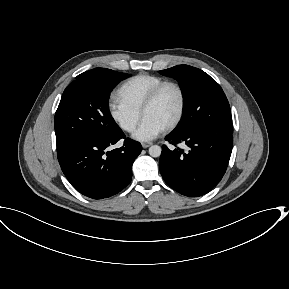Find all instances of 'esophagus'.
Returning a JSON list of instances; mask_svg holds the SVG:
<instances>
[{
  "mask_svg": "<svg viewBox=\"0 0 289 289\" xmlns=\"http://www.w3.org/2000/svg\"><path fill=\"white\" fill-rule=\"evenodd\" d=\"M152 145V143L148 142V143H142V147L143 148H148Z\"/></svg>",
  "mask_w": 289,
  "mask_h": 289,
  "instance_id": "obj_1",
  "label": "esophagus"
}]
</instances>
